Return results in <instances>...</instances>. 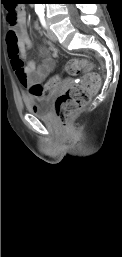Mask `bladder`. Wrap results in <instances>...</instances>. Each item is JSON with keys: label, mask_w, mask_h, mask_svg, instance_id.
Wrapping results in <instances>:
<instances>
[{"label": "bladder", "mask_w": 122, "mask_h": 257, "mask_svg": "<svg viewBox=\"0 0 122 257\" xmlns=\"http://www.w3.org/2000/svg\"><path fill=\"white\" fill-rule=\"evenodd\" d=\"M24 102L26 109L37 117H48L51 112V97L48 95L32 96Z\"/></svg>", "instance_id": "1"}]
</instances>
